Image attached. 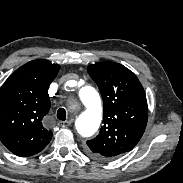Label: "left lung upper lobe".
I'll return each instance as SVG.
<instances>
[{
    "label": "left lung upper lobe",
    "mask_w": 183,
    "mask_h": 183,
    "mask_svg": "<svg viewBox=\"0 0 183 183\" xmlns=\"http://www.w3.org/2000/svg\"><path fill=\"white\" fill-rule=\"evenodd\" d=\"M87 70L101 92L104 117L99 135L87 141L86 149L99 159H113L141 139L148 118L146 95L136 75L121 64L98 62Z\"/></svg>",
    "instance_id": "1"
}]
</instances>
